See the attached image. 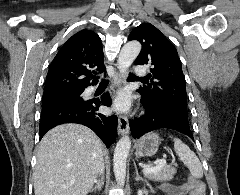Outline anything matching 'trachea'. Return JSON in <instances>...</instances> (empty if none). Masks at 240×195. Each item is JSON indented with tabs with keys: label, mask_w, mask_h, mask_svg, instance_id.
<instances>
[{
	"label": "trachea",
	"mask_w": 240,
	"mask_h": 195,
	"mask_svg": "<svg viewBox=\"0 0 240 195\" xmlns=\"http://www.w3.org/2000/svg\"><path fill=\"white\" fill-rule=\"evenodd\" d=\"M95 73V72H94ZM136 78H141V77H137L136 75H134L133 73H129L128 79H136ZM109 80L108 79H103L101 81V84H108Z\"/></svg>",
	"instance_id": "1"
}]
</instances>
